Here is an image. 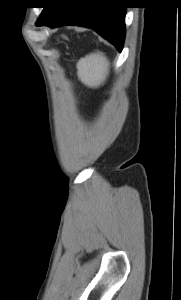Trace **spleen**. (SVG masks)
Here are the masks:
<instances>
[{"label":"spleen","instance_id":"3e777b00","mask_svg":"<svg viewBox=\"0 0 181 300\" xmlns=\"http://www.w3.org/2000/svg\"><path fill=\"white\" fill-rule=\"evenodd\" d=\"M77 76L86 86L97 88L106 78L109 62L101 52L91 53L77 62Z\"/></svg>","mask_w":181,"mask_h":300}]
</instances>
